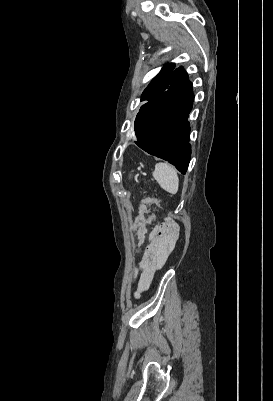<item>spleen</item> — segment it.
Listing matches in <instances>:
<instances>
[{
  "mask_svg": "<svg viewBox=\"0 0 273 401\" xmlns=\"http://www.w3.org/2000/svg\"><path fill=\"white\" fill-rule=\"evenodd\" d=\"M153 176L164 190L171 192V194H176L179 178L174 166H170L168 162H157Z\"/></svg>",
  "mask_w": 273,
  "mask_h": 401,
  "instance_id": "spleen-1",
  "label": "spleen"
}]
</instances>
